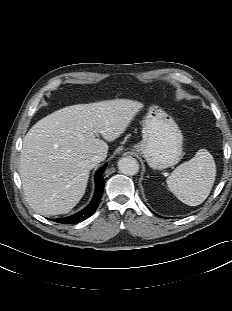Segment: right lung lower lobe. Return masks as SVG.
<instances>
[{
    "label": "right lung lower lobe",
    "instance_id": "98d812e1",
    "mask_svg": "<svg viewBox=\"0 0 232 311\" xmlns=\"http://www.w3.org/2000/svg\"><path fill=\"white\" fill-rule=\"evenodd\" d=\"M106 166L107 164L101 167L96 172V175H95L96 187H95V193H94L91 203L86 208H84L83 210H81L80 212L72 216H69L66 218H60V219H52L53 221L62 223V224H73V223L81 222L94 214L101 200V196H102V192L104 188V179H103L102 174Z\"/></svg>",
    "mask_w": 232,
    "mask_h": 311
}]
</instances>
